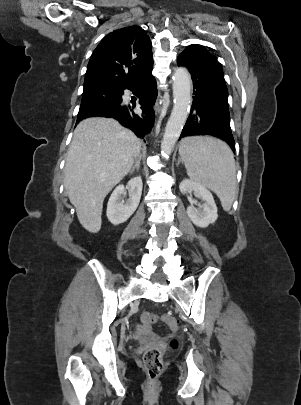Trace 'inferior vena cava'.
<instances>
[{
    "label": "inferior vena cava",
    "mask_w": 301,
    "mask_h": 405,
    "mask_svg": "<svg viewBox=\"0 0 301 405\" xmlns=\"http://www.w3.org/2000/svg\"><path fill=\"white\" fill-rule=\"evenodd\" d=\"M137 152H139V148L137 149ZM137 152H136V153H137Z\"/></svg>",
    "instance_id": "602c4592"
}]
</instances>
